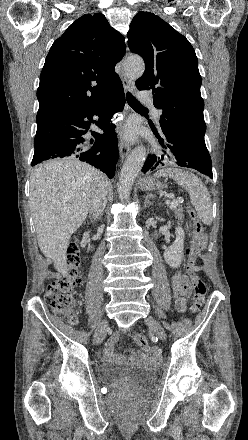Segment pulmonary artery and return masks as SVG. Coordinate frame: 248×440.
Masks as SVG:
<instances>
[{
	"label": "pulmonary artery",
	"mask_w": 248,
	"mask_h": 440,
	"mask_svg": "<svg viewBox=\"0 0 248 440\" xmlns=\"http://www.w3.org/2000/svg\"><path fill=\"white\" fill-rule=\"evenodd\" d=\"M139 96H140V98H141L142 100H144L145 102L151 104L150 99L148 98V96H147L145 93L141 92V93L139 94ZM159 116H160V113H159L158 111H155V118H156L157 120L159 119Z\"/></svg>",
	"instance_id": "pulmonary-artery-1"
}]
</instances>
